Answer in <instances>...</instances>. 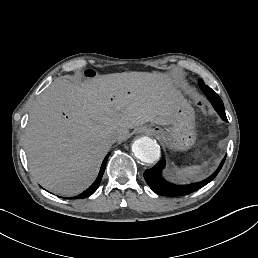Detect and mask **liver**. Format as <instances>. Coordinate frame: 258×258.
<instances>
[{
  "label": "liver",
  "instance_id": "1",
  "mask_svg": "<svg viewBox=\"0 0 258 258\" xmlns=\"http://www.w3.org/2000/svg\"><path fill=\"white\" fill-rule=\"evenodd\" d=\"M181 95L167 73L123 72L97 75L80 85L57 79L37 99L25 128L31 175L49 191L74 196L98 174L110 149L146 122L172 123Z\"/></svg>",
  "mask_w": 258,
  "mask_h": 258
}]
</instances>
